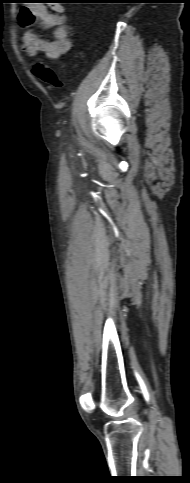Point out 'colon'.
<instances>
[{"label": "colon", "instance_id": "5ec220e1", "mask_svg": "<svg viewBox=\"0 0 190 483\" xmlns=\"http://www.w3.org/2000/svg\"><path fill=\"white\" fill-rule=\"evenodd\" d=\"M33 73L50 88L59 89L63 85L58 74L44 62L36 63L33 67Z\"/></svg>", "mask_w": 190, "mask_h": 483}]
</instances>
